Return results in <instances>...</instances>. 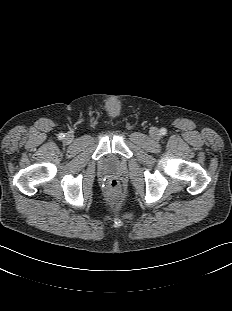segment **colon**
<instances>
[{"instance_id":"obj_1","label":"colon","mask_w":232,"mask_h":311,"mask_svg":"<svg viewBox=\"0 0 232 311\" xmlns=\"http://www.w3.org/2000/svg\"><path fill=\"white\" fill-rule=\"evenodd\" d=\"M107 190L111 197H114V198L118 197L120 194V185L118 181L110 180L107 185Z\"/></svg>"}]
</instances>
